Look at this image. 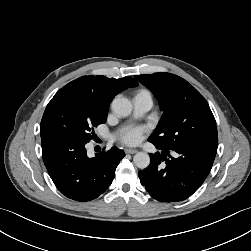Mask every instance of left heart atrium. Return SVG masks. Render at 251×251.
Wrapping results in <instances>:
<instances>
[{
  "instance_id": "39dd6f15",
  "label": "left heart atrium",
  "mask_w": 251,
  "mask_h": 251,
  "mask_svg": "<svg viewBox=\"0 0 251 251\" xmlns=\"http://www.w3.org/2000/svg\"><path fill=\"white\" fill-rule=\"evenodd\" d=\"M142 133L143 130L141 128L128 129L122 134L121 140L125 144L134 145L140 141Z\"/></svg>"
}]
</instances>
